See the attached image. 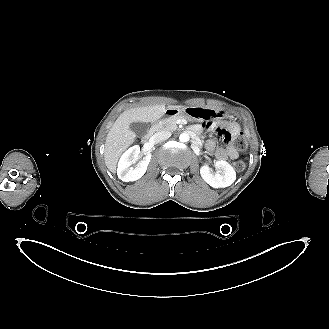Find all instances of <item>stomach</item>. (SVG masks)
Masks as SVG:
<instances>
[{"label": "stomach", "mask_w": 329, "mask_h": 329, "mask_svg": "<svg viewBox=\"0 0 329 329\" xmlns=\"http://www.w3.org/2000/svg\"><path fill=\"white\" fill-rule=\"evenodd\" d=\"M167 111L172 116L182 115L190 120L203 119H219L224 116L221 110L216 111L205 107H183V108H169Z\"/></svg>", "instance_id": "0dacf381"}]
</instances>
